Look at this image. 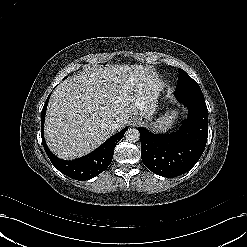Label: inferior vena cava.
<instances>
[{
    "instance_id": "602c4592",
    "label": "inferior vena cava",
    "mask_w": 247,
    "mask_h": 247,
    "mask_svg": "<svg viewBox=\"0 0 247 247\" xmlns=\"http://www.w3.org/2000/svg\"><path fill=\"white\" fill-rule=\"evenodd\" d=\"M106 128L109 129L110 131H116L119 127L120 124L116 120H111L105 124Z\"/></svg>"
}]
</instances>
